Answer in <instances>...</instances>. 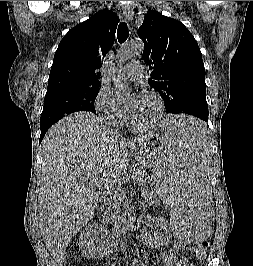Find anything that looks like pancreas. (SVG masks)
<instances>
[{"mask_svg":"<svg viewBox=\"0 0 253 266\" xmlns=\"http://www.w3.org/2000/svg\"><path fill=\"white\" fill-rule=\"evenodd\" d=\"M138 181L140 182L141 185V191L143 192L142 197L145 200L152 201L153 199V192L148 190V186L146 184V179L144 178V175H139L138 176ZM114 196V200L120 201L122 199L123 193L120 191H116ZM118 202L115 201V206H117ZM111 206V205H110ZM118 209L116 211H112L110 208L105 212L104 219L107 221L113 220L114 217L117 215Z\"/></svg>","mask_w":253,"mask_h":266,"instance_id":"1","label":"pancreas"}]
</instances>
